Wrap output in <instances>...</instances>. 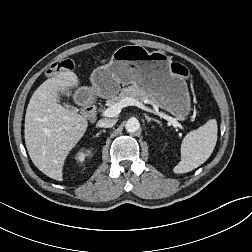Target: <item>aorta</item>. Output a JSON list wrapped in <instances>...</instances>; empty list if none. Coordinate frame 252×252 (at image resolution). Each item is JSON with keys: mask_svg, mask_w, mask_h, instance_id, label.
Masks as SVG:
<instances>
[{"mask_svg": "<svg viewBox=\"0 0 252 252\" xmlns=\"http://www.w3.org/2000/svg\"><path fill=\"white\" fill-rule=\"evenodd\" d=\"M140 123L136 118H130L125 125V129L128 133H135L139 130Z\"/></svg>", "mask_w": 252, "mask_h": 252, "instance_id": "762f6f07", "label": "aorta"}]
</instances>
